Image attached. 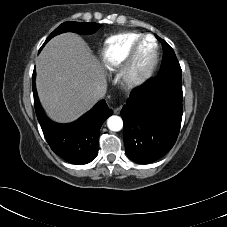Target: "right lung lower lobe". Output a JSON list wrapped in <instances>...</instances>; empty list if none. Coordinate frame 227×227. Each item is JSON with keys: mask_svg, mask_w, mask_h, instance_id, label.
I'll return each mask as SVG.
<instances>
[{"mask_svg": "<svg viewBox=\"0 0 227 227\" xmlns=\"http://www.w3.org/2000/svg\"><path fill=\"white\" fill-rule=\"evenodd\" d=\"M32 83L37 119L53 152L72 164H86L94 160L98 155L100 128L113 113L105 100L98 102L77 121L58 124L48 119L40 106L35 87V69Z\"/></svg>", "mask_w": 227, "mask_h": 227, "instance_id": "1", "label": "right lung lower lobe"}]
</instances>
